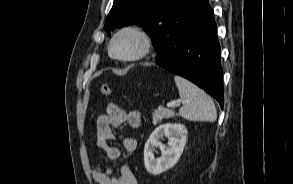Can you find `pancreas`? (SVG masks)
I'll return each mask as SVG.
<instances>
[{"instance_id":"cf45deb5","label":"pancreas","mask_w":293,"mask_h":184,"mask_svg":"<svg viewBox=\"0 0 293 184\" xmlns=\"http://www.w3.org/2000/svg\"><path fill=\"white\" fill-rule=\"evenodd\" d=\"M175 116V112L173 110H168V109H157L153 111L152 113V119L153 123L157 124L158 122H161L162 119H169Z\"/></svg>"}]
</instances>
